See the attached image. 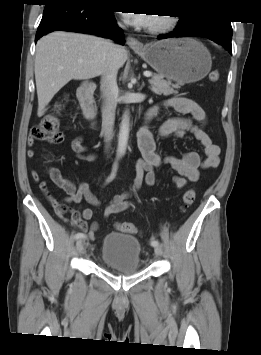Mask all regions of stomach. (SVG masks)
Returning a JSON list of instances; mask_svg holds the SVG:
<instances>
[{"mask_svg":"<svg viewBox=\"0 0 261 355\" xmlns=\"http://www.w3.org/2000/svg\"><path fill=\"white\" fill-rule=\"evenodd\" d=\"M136 52L160 76L180 84L203 79L211 70L208 49L193 38H174L149 43Z\"/></svg>","mask_w":261,"mask_h":355,"instance_id":"obj_1","label":"stomach"}]
</instances>
